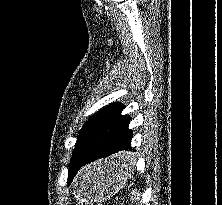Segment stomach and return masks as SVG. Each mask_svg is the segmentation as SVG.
Masks as SVG:
<instances>
[{"label": "stomach", "mask_w": 222, "mask_h": 205, "mask_svg": "<svg viewBox=\"0 0 222 205\" xmlns=\"http://www.w3.org/2000/svg\"><path fill=\"white\" fill-rule=\"evenodd\" d=\"M132 168L112 161H101L87 167L75 186L81 204L101 203L115 195L126 183Z\"/></svg>", "instance_id": "stomach-1"}]
</instances>
